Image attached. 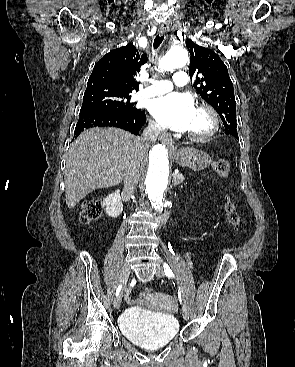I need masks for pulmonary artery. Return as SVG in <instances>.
<instances>
[{
	"mask_svg": "<svg viewBox=\"0 0 295 367\" xmlns=\"http://www.w3.org/2000/svg\"><path fill=\"white\" fill-rule=\"evenodd\" d=\"M188 74L185 71H177L173 75V83L176 86H185L188 84ZM173 83L169 80H155L152 85L140 91L137 98H150L163 95L173 89Z\"/></svg>",
	"mask_w": 295,
	"mask_h": 367,
	"instance_id": "1",
	"label": "pulmonary artery"
}]
</instances>
